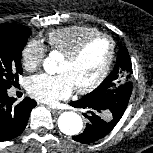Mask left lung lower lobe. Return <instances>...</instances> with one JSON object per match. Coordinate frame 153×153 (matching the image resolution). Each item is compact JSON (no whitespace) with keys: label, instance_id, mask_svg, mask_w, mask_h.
<instances>
[{"label":"left lung lower lobe","instance_id":"obj_1","mask_svg":"<svg viewBox=\"0 0 153 153\" xmlns=\"http://www.w3.org/2000/svg\"><path fill=\"white\" fill-rule=\"evenodd\" d=\"M74 107H82L88 110V115L84 114L88 118V123L84 132L80 135L73 136L72 139L80 143H93L108 133H110L118 122L114 119H110L105 114V105L99 102L85 101L80 99L70 103Z\"/></svg>","mask_w":153,"mask_h":153}]
</instances>
